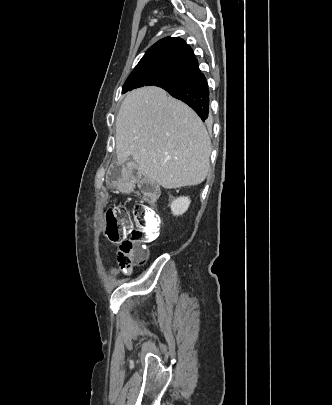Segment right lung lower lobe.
<instances>
[{
    "instance_id": "obj_1",
    "label": "right lung lower lobe",
    "mask_w": 332,
    "mask_h": 405,
    "mask_svg": "<svg viewBox=\"0 0 332 405\" xmlns=\"http://www.w3.org/2000/svg\"><path fill=\"white\" fill-rule=\"evenodd\" d=\"M163 89L189 105L203 121L208 117L209 89L204 74L197 73Z\"/></svg>"
}]
</instances>
